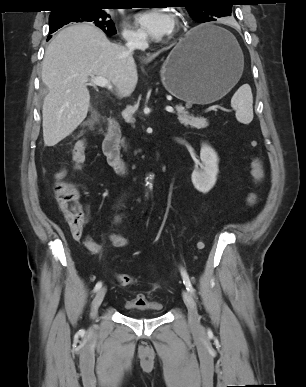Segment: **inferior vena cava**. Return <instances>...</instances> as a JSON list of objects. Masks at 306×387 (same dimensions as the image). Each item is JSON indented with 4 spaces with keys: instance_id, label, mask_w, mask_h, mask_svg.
<instances>
[{
    "instance_id": "obj_1",
    "label": "inferior vena cava",
    "mask_w": 306,
    "mask_h": 387,
    "mask_svg": "<svg viewBox=\"0 0 306 387\" xmlns=\"http://www.w3.org/2000/svg\"><path fill=\"white\" fill-rule=\"evenodd\" d=\"M127 49L132 52L135 49H146L148 47V43L145 37L143 36H132L128 38L127 43H126ZM131 91L129 90H124L122 91V95L127 96L130 95Z\"/></svg>"
}]
</instances>
